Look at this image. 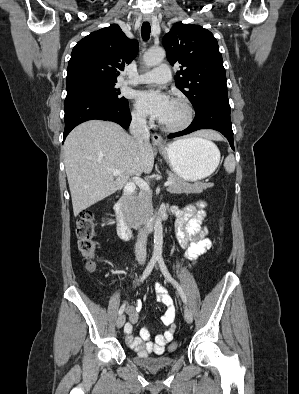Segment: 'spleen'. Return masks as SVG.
<instances>
[{
    "label": "spleen",
    "instance_id": "3e777b00",
    "mask_svg": "<svg viewBox=\"0 0 299 394\" xmlns=\"http://www.w3.org/2000/svg\"><path fill=\"white\" fill-rule=\"evenodd\" d=\"M235 166H236L235 157L233 154H229L224 160V168L226 172L233 173L235 170Z\"/></svg>",
    "mask_w": 299,
    "mask_h": 394
}]
</instances>
